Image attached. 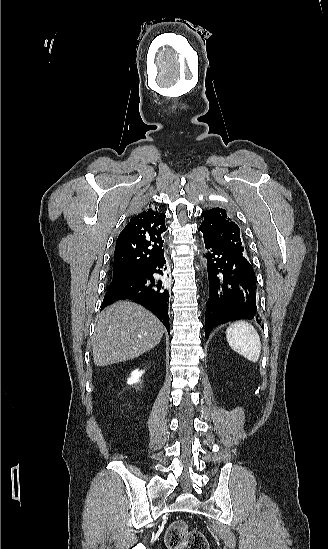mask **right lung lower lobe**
Wrapping results in <instances>:
<instances>
[{
  "label": "right lung lower lobe",
  "mask_w": 328,
  "mask_h": 549,
  "mask_svg": "<svg viewBox=\"0 0 328 549\" xmlns=\"http://www.w3.org/2000/svg\"><path fill=\"white\" fill-rule=\"evenodd\" d=\"M166 260L164 253L135 278L124 281L109 290L104 296L102 308L121 299H132L154 313L170 333L168 302L169 292L165 281Z\"/></svg>",
  "instance_id": "1"
}]
</instances>
